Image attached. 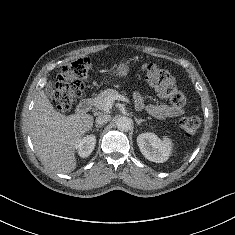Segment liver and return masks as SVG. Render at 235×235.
<instances>
[{"instance_id":"6515ba94","label":"liver","mask_w":235,"mask_h":235,"mask_svg":"<svg viewBox=\"0 0 235 235\" xmlns=\"http://www.w3.org/2000/svg\"><path fill=\"white\" fill-rule=\"evenodd\" d=\"M93 125L90 114L69 116L57 112L44 91H40L31 112L30 134L40 159L59 173L76 168L75 143Z\"/></svg>"}]
</instances>
